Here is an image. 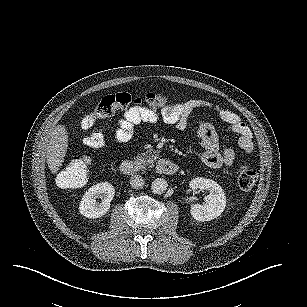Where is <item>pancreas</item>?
Instances as JSON below:
<instances>
[{
    "label": "pancreas",
    "mask_w": 307,
    "mask_h": 307,
    "mask_svg": "<svg viewBox=\"0 0 307 307\" xmlns=\"http://www.w3.org/2000/svg\"><path fill=\"white\" fill-rule=\"evenodd\" d=\"M156 158L153 153H140L136 157V168L138 170H145L146 168L154 167V159Z\"/></svg>",
    "instance_id": "1"
}]
</instances>
